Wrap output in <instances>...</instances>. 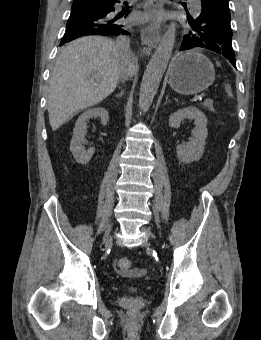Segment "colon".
Returning a JSON list of instances; mask_svg holds the SVG:
<instances>
[{
  "mask_svg": "<svg viewBox=\"0 0 261 340\" xmlns=\"http://www.w3.org/2000/svg\"><path fill=\"white\" fill-rule=\"evenodd\" d=\"M114 269L118 273H125L131 267V261L128 258H120L114 262Z\"/></svg>",
  "mask_w": 261,
  "mask_h": 340,
  "instance_id": "colon-1",
  "label": "colon"
}]
</instances>
